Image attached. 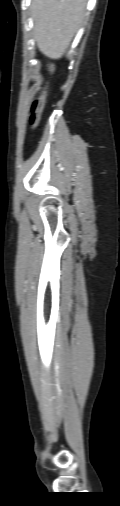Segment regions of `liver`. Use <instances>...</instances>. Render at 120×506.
Returning <instances> with one entry per match:
<instances>
[{"instance_id": "liver-1", "label": "liver", "mask_w": 120, "mask_h": 506, "mask_svg": "<svg viewBox=\"0 0 120 506\" xmlns=\"http://www.w3.org/2000/svg\"><path fill=\"white\" fill-rule=\"evenodd\" d=\"M87 0H33L34 37L39 50L59 59L68 49L85 16Z\"/></svg>"}]
</instances>
